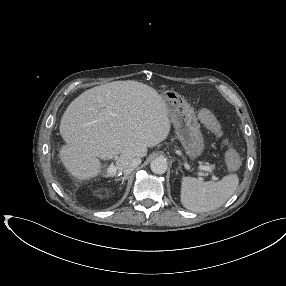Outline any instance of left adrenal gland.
<instances>
[{
	"label": "left adrenal gland",
	"mask_w": 286,
	"mask_h": 286,
	"mask_svg": "<svg viewBox=\"0 0 286 286\" xmlns=\"http://www.w3.org/2000/svg\"><path fill=\"white\" fill-rule=\"evenodd\" d=\"M181 167H179V169H180ZM176 170H178V168L176 169ZM176 173H177V171H176Z\"/></svg>",
	"instance_id": "1"
}]
</instances>
